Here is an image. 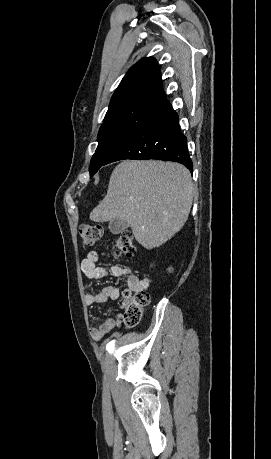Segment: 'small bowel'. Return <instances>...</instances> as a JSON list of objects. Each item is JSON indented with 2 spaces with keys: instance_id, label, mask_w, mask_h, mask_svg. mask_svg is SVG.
<instances>
[{
  "instance_id": "small-bowel-1",
  "label": "small bowel",
  "mask_w": 271,
  "mask_h": 459,
  "mask_svg": "<svg viewBox=\"0 0 271 459\" xmlns=\"http://www.w3.org/2000/svg\"><path fill=\"white\" fill-rule=\"evenodd\" d=\"M98 253L90 252L82 261L81 268L83 273L90 279H100L104 277L121 278L127 277V286L130 291L138 292L147 288L148 281L142 279L133 270L113 265L109 268L98 267ZM121 291L115 286H106L98 291H89L85 294V301L88 305L106 303L120 297ZM115 328H122V315L118 314L115 318H108L98 327L91 329V336L95 340H100L103 336Z\"/></svg>"
}]
</instances>
